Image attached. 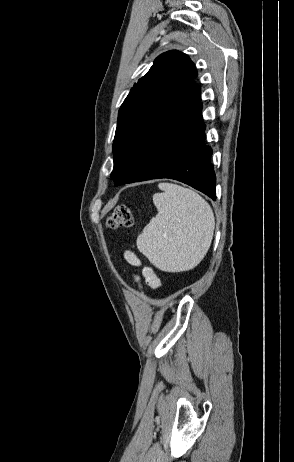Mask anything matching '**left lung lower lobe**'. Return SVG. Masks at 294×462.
I'll list each match as a JSON object with an SVG mask.
<instances>
[{
  "instance_id": "0a47b994",
  "label": "left lung lower lobe",
  "mask_w": 294,
  "mask_h": 462,
  "mask_svg": "<svg viewBox=\"0 0 294 462\" xmlns=\"http://www.w3.org/2000/svg\"><path fill=\"white\" fill-rule=\"evenodd\" d=\"M201 110L200 88L195 82L173 102L157 106L128 151L114 184L170 178L215 200L212 150L204 145Z\"/></svg>"
}]
</instances>
